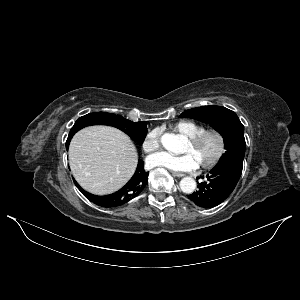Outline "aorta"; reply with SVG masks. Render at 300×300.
Returning a JSON list of instances; mask_svg holds the SVG:
<instances>
[{
  "label": "aorta",
  "instance_id": "aorta-1",
  "mask_svg": "<svg viewBox=\"0 0 300 300\" xmlns=\"http://www.w3.org/2000/svg\"><path fill=\"white\" fill-rule=\"evenodd\" d=\"M163 147L171 152L180 153L183 139L180 135L165 133L161 137ZM180 189L186 194H191L196 189V181L192 177H184L180 181Z\"/></svg>",
  "mask_w": 300,
  "mask_h": 300
}]
</instances>
